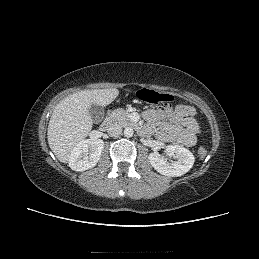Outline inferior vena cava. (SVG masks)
<instances>
[{
  "label": "inferior vena cava",
  "instance_id": "1",
  "mask_svg": "<svg viewBox=\"0 0 259 259\" xmlns=\"http://www.w3.org/2000/svg\"><path fill=\"white\" fill-rule=\"evenodd\" d=\"M107 133L112 137H116L122 133V127L116 123L110 124L107 128Z\"/></svg>",
  "mask_w": 259,
  "mask_h": 259
}]
</instances>
